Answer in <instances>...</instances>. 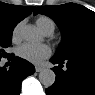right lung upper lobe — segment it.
<instances>
[{
    "instance_id": "obj_1",
    "label": "right lung upper lobe",
    "mask_w": 95,
    "mask_h": 95,
    "mask_svg": "<svg viewBox=\"0 0 95 95\" xmlns=\"http://www.w3.org/2000/svg\"><path fill=\"white\" fill-rule=\"evenodd\" d=\"M33 7L0 3V26H16L18 22L28 16Z\"/></svg>"
}]
</instances>
